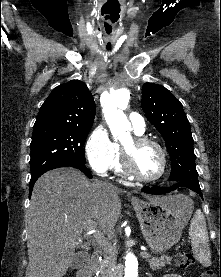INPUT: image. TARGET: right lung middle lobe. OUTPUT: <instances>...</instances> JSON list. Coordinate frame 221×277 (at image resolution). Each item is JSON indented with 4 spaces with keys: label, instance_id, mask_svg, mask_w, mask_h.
<instances>
[{
    "label": "right lung middle lobe",
    "instance_id": "dd1d6c3e",
    "mask_svg": "<svg viewBox=\"0 0 221 277\" xmlns=\"http://www.w3.org/2000/svg\"><path fill=\"white\" fill-rule=\"evenodd\" d=\"M91 127H34L31 148V178L68 163L85 165L83 144Z\"/></svg>",
    "mask_w": 221,
    "mask_h": 277
}]
</instances>
